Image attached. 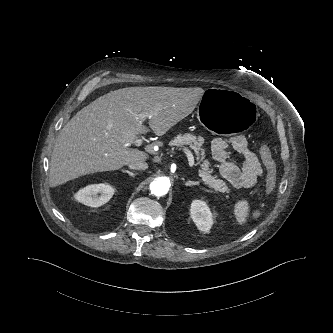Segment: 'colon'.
<instances>
[{
  "mask_svg": "<svg viewBox=\"0 0 333 333\" xmlns=\"http://www.w3.org/2000/svg\"><path fill=\"white\" fill-rule=\"evenodd\" d=\"M263 165L267 171L266 178V191L267 193H271L276 185V163L272 157L271 149L267 145H263L259 150ZM260 210L256 212L258 215Z\"/></svg>",
  "mask_w": 333,
  "mask_h": 333,
  "instance_id": "1",
  "label": "colon"
}]
</instances>
